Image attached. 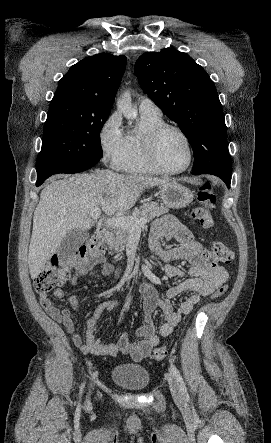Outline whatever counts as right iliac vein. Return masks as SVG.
Masks as SVG:
<instances>
[{
  "label": "right iliac vein",
  "mask_w": 271,
  "mask_h": 443,
  "mask_svg": "<svg viewBox=\"0 0 271 443\" xmlns=\"http://www.w3.org/2000/svg\"><path fill=\"white\" fill-rule=\"evenodd\" d=\"M90 402V397L88 396V398L86 399V404H88Z\"/></svg>",
  "instance_id": "1"
}]
</instances>
